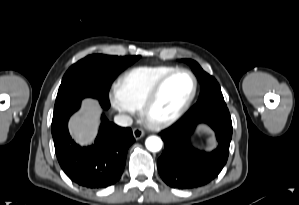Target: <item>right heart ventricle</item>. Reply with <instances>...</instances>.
Here are the masks:
<instances>
[{
	"label": "right heart ventricle",
	"mask_w": 299,
	"mask_h": 205,
	"mask_svg": "<svg viewBox=\"0 0 299 205\" xmlns=\"http://www.w3.org/2000/svg\"><path fill=\"white\" fill-rule=\"evenodd\" d=\"M174 69L171 66L134 67L119 78L116 89L130 109L138 110L154 85Z\"/></svg>",
	"instance_id": "right-heart-ventricle-1"
}]
</instances>
